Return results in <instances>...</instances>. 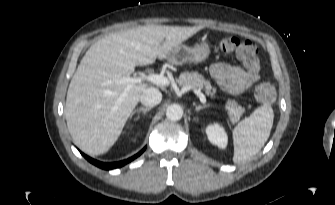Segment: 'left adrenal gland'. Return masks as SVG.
Masks as SVG:
<instances>
[{"label": "left adrenal gland", "mask_w": 335, "mask_h": 205, "mask_svg": "<svg viewBox=\"0 0 335 205\" xmlns=\"http://www.w3.org/2000/svg\"><path fill=\"white\" fill-rule=\"evenodd\" d=\"M206 107H209V104H204V105H196L195 106V110L196 111H200L201 109H204V108H206Z\"/></svg>", "instance_id": "obj_1"}]
</instances>
